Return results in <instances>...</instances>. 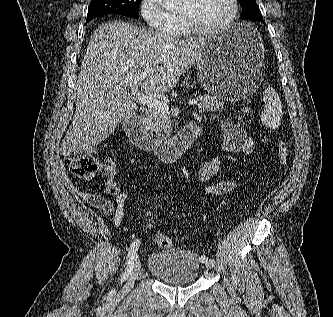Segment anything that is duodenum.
Listing matches in <instances>:
<instances>
[{
    "label": "duodenum",
    "instance_id": "obj_1",
    "mask_svg": "<svg viewBox=\"0 0 333 317\" xmlns=\"http://www.w3.org/2000/svg\"><path fill=\"white\" fill-rule=\"evenodd\" d=\"M128 138L139 148L154 153L163 162H174L181 158L193 145L201 132L196 122L185 124L178 135L171 139L155 138L150 135L144 121L139 116H130L125 120Z\"/></svg>",
    "mask_w": 333,
    "mask_h": 317
}]
</instances>
